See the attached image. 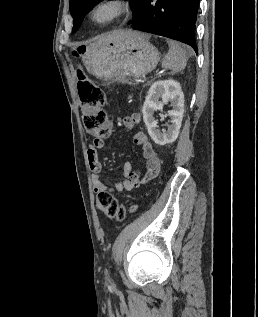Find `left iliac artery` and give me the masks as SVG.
Wrapping results in <instances>:
<instances>
[{
    "mask_svg": "<svg viewBox=\"0 0 258 317\" xmlns=\"http://www.w3.org/2000/svg\"><path fill=\"white\" fill-rule=\"evenodd\" d=\"M108 290L112 293H119V289L117 288L115 282H112V284L109 286Z\"/></svg>",
    "mask_w": 258,
    "mask_h": 317,
    "instance_id": "1",
    "label": "left iliac artery"
}]
</instances>
